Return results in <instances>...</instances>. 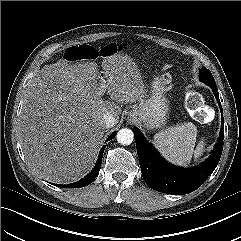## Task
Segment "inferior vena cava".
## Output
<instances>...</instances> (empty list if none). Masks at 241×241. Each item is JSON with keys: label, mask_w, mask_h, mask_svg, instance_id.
I'll return each instance as SVG.
<instances>
[{"label": "inferior vena cava", "mask_w": 241, "mask_h": 241, "mask_svg": "<svg viewBox=\"0 0 241 241\" xmlns=\"http://www.w3.org/2000/svg\"><path fill=\"white\" fill-rule=\"evenodd\" d=\"M117 123L113 114L107 112L102 116L101 124L104 128L113 127Z\"/></svg>", "instance_id": "obj_1"}]
</instances>
